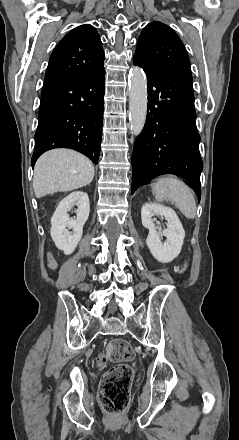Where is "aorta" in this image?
I'll list each match as a JSON object with an SVG mask.
<instances>
[{
  "instance_id": "762f6f07",
  "label": "aorta",
  "mask_w": 239,
  "mask_h": 440,
  "mask_svg": "<svg viewBox=\"0 0 239 440\" xmlns=\"http://www.w3.org/2000/svg\"><path fill=\"white\" fill-rule=\"evenodd\" d=\"M129 112L134 136L141 134L147 114V80L140 68L131 70Z\"/></svg>"
}]
</instances>
